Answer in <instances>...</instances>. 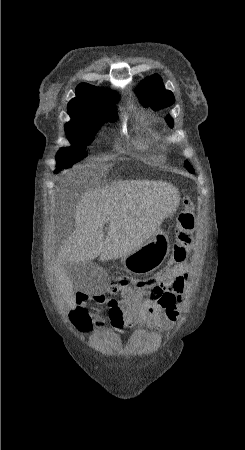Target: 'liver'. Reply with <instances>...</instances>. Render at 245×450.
Returning a JSON list of instances; mask_svg holds the SVG:
<instances>
[{
	"instance_id": "1",
	"label": "liver",
	"mask_w": 245,
	"mask_h": 450,
	"mask_svg": "<svg viewBox=\"0 0 245 450\" xmlns=\"http://www.w3.org/2000/svg\"><path fill=\"white\" fill-rule=\"evenodd\" d=\"M179 200L178 189L163 181L118 180L83 192L75 209V230L61 246L54 266L68 306L76 307L68 266L98 256L105 261L131 254L157 232Z\"/></svg>"
}]
</instances>
